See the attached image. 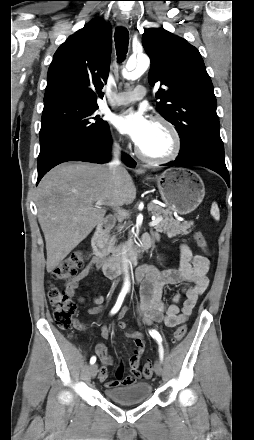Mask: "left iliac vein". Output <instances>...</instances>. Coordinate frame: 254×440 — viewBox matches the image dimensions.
Masks as SVG:
<instances>
[{"label": "left iliac vein", "instance_id": "left-iliac-vein-1", "mask_svg": "<svg viewBox=\"0 0 254 440\" xmlns=\"http://www.w3.org/2000/svg\"><path fill=\"white\" fill-rule=\"evenodd\" d=\"M154 372L158 376H161L163 374V368L159 361H155L154 363Z\"/></svg>", "mask_w": 254, "mask_h": 440}]
</instances>
